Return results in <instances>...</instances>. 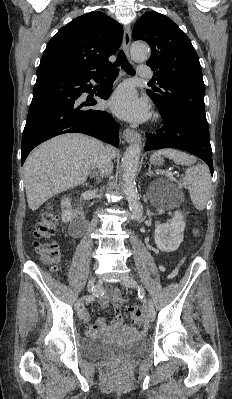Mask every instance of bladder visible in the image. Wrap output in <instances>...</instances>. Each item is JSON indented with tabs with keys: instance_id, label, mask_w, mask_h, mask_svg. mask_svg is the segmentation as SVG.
I'll use <instances>...</instances> for the list:
<instances>
[{
	"instance_id": "bladder-1",
	"label": "bladder",
	"mask_w": 232,
	"mask_h": 399,
	"mask_svg": "<svg viewBox=\"0 0 232 399\" xmlns=\"http://www.w3.org/2000/svg\"><path fill=\"white\" fill-rule=\"evenodd\" d=\"M148 351V342L138 340L131 344H116L97 338H83L79 343V354L85 359L98 360L111 357H140Z\"/></svg>"
}]
</instances>
